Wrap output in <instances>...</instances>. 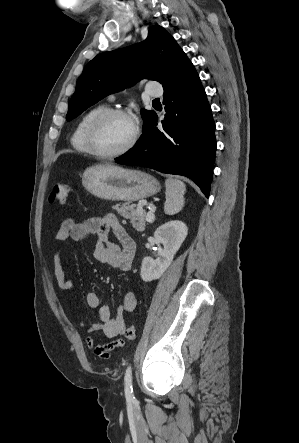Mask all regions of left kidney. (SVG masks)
Returning a JSON list of instances; mask_svg holds the SVG:
<instances>
[{"label":"left kidney","mask_w":299,"mask_h":443,"mask_svg":"<svg viewBox=\"0 0 299 443\" xmlns=\"http://www.w3.org/2000/svg\"><path fill=\"white\" fill-rule=\"evenodd\" d=\"M188 233L185 223L179 220L167 222L155 232L156 241L164 246L160 257L153 259L145 257L141 265V278L145 282L159 279L173 261Z\"/></svg>","instance_id":"5707ae66"}]
</instances>
